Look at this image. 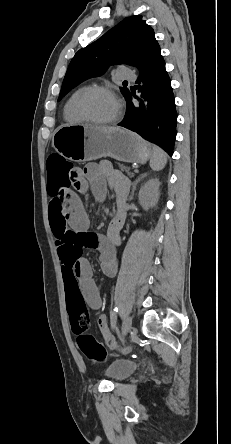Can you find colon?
Returning a JSON list of instances; mask_svg holds the SVG:
<instances>
[{"instance_id":"obj_1","label":"colon","mask_w":231,"mask_h":444,"mask_svg":"<svg viewBox=\"0 0 231 444\" xmlns=\"http://www.w3.org/2000/svg\"><path fill=\"white\" fill-rule=\"evenodd\" d=\"M47 172L48 193L56 202L60 201L63 192L70 187L71 179L78 176L79 170L62 156L53 154L47 159ZM67 307L70 324L82 353L91 362L104 361L106 348L88 333L90 316L83 297L77 292H67ZM110 346L113 347L114 342H110Z\"/></svg>"}]
</instances>
